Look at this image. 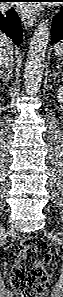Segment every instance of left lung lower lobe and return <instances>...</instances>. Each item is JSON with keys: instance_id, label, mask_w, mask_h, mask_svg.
<instances>
[{"instance_id": "1", "label": "left lung lower lobe", "mask_w": 63, "mask_h": 297, "mask_svg": "<svg viewBox=\"0 0 63 297\" xmlns=\"http://www.w3.org/2000/svg\"><path fill=\"white\" fill-rule=\"evenodd\" d=\"M60 40H63V6L59 13L54 17L51 28V44H54Z\"/></svg>"}]
</instances>
